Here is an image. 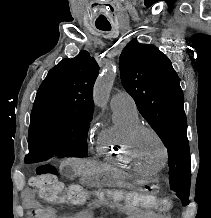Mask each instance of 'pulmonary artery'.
Masks as SVG:
<instances>
[{
	"instance_id": "1",
	"label": "pulmonary artery",
	"mask_w": 211,
	"mask_h": 218,
	"mask_svg": "<svg viewBox=\"0 0 211 218\" xmlns=\"http://www.w3.org/2000/svg\"><path fill=\"white\" fill-rule=\"evenodd\" d=\"M112 108H127L137 111V106L133 97L124 90H120L115 93L111 100Z\"/></svg>"
}]
</instances>
